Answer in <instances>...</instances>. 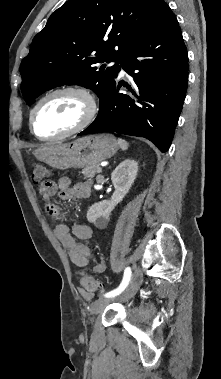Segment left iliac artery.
I'll list each match as a JSON object with an SVG mask.
<instances>
[{
  "label": "left iliac artery",
  "mask_w": 221,
  "mask_h": 379,
  "mask_svg": "<svg viewBox=\"0 0 221 379\" xmlns=\"http://www.w3.org/2000/svg\"><path fill=\"white\" fill-rule=\"evenodd\" d=\"M131 274H132L131 268L127 267L124 271L123 280H122L121 284L119 285V287H117L116 289H114L112 291L107 292L104 295V297H107V298L115 297V296L119 295L122 291H124V289L129 284Z\"/></svg>",
  "instance_id": "left-iliac-artery-1"
}]
</instances>
